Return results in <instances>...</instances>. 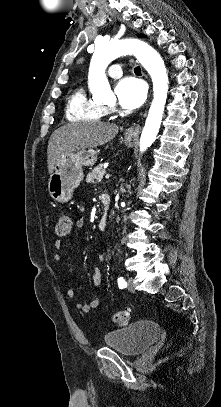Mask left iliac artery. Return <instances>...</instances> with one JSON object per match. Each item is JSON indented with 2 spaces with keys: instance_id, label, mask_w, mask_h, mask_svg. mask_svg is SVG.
<instances>
[{
  "instance_id": "44dca946",
  "label": "left iliac artery",
  "mask_w": 221,
  "mask_h": 407,
  "mask_svg": "<svg viewBox=\"0 0 221 407\" xmlns=\"http://www.w3.org/2000/svg\"><path fill=\"white\" fill-rule=\"evenodd\" d=\"M118 286L120 289L126 288L127 282L123 279V277L118 278Z\"/></svg>"
}]
</instances>
